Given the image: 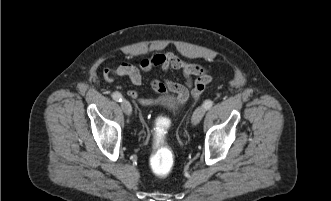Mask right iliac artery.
<instances>
[{
  "label": "right iliac artery",
  "instance_id": "82829eb1",
  "mask_svg": "<svg viewBox=\"0 0 331 201\" xmlns=\"http://www.w3.org/2000/svg\"><path fill=\"white\" fill-rule=\"evenodd\" d=\"M112 97L117 102H121L123 99L122 95L119 92H114Z\"/></svg>",
  "mask_w": 331,
  "mask_h": 201
}]
</instances>
